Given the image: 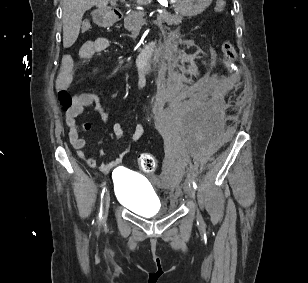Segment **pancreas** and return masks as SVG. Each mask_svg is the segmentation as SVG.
Masks as SVG:
<instances>
[{"mask_svg":"<svg viewBox=\"0 0 308 283\" xmlns=\"http://www.w3.org/2000/svg\"><path fill=\"white\" fill-rule=\"evenodd\" d=\"M144 13L141 11H132L124 18V27L128 31L134 28H141L144 24ZM183 17L178 15H172L167 11H163L158 15V21L167 23L168 25H178L182 22Z\"/></svg>","mask_w":308,"mask_h":283,"instance_id":"obj_1","label":"pancreas"}]
</instances>
